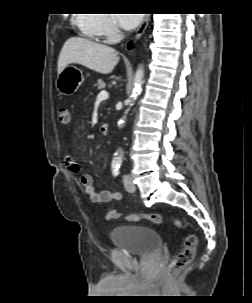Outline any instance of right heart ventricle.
<instances>
[{
  "mask_svg": "<svg viewBox=\"0 0 252 303\" xmlns=\"http://www.w3.org/2000/svg\"><path fill=\"white\" fill-rule=\"evenodd\" d=\"M97 15L79 14L78 24L84 29L85 33L94 38H100L102 35L98 32L95 21Z\"/></svg>",
  "mask_w": 252,
  "mask_h": 303,
  "instance_id": "obj_1",
  "label": "right heart ventricle"
}]
</instances>
